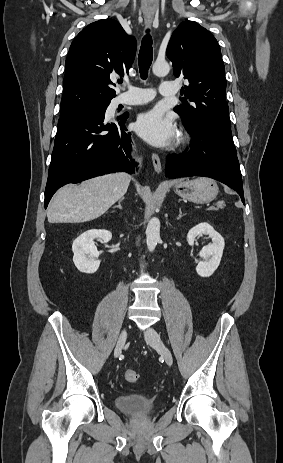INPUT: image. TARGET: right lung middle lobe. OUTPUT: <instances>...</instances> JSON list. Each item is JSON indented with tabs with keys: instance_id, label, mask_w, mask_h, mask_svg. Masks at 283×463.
<instances>
[{
	"instance_id": "dd1d6c3e",
	"label": "right lung middle lobe",
	"mask_w": 283,
	"mask_h": 463,
	"mask_svg": "<svg viewBox=\"0 0 283 463\" xmlns=\"http://www.w3.org/2000/svg\"><path fill=\"white\" fill-rule=\"evenodd\" d=\"M108 103H110V100L97 101V102H92V103L85 104V105L80 106V107H76V108H72V109H68V110H63V111H60V119L64 118V117H67L69 115H72L74 113L86 110V109L91 108V107H93L95 105H98V104H103L104 105V104H108Z\"/></svg>"
}]
</instances>
